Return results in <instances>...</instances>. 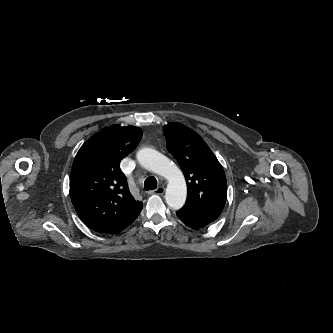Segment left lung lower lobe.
<instances>
[{
	"label": "left lung lower lobe",
	"mask_w": 333,
	"mask_h": 333,
	"mask_svg": "<svg viewBox=\"0 0 333 333\" xmlns=\"http://www.w3.org/2000/svg\"><path fill=\"white\" fill-rule=\"evenodd\" d=\"M178 218L192 229H200L215 221L218 217L196 212L182 207L176 212Z\"/></svg>",
	"instance_id": "obj_1"
}]
</instances>
